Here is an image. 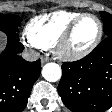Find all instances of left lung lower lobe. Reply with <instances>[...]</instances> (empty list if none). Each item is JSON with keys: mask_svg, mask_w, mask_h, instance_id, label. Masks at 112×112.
Returning <instances> with one entry per match:
<instances>
[{"mask_svg": "<svg viewBox=\"0 0 112 112\" xmlns=\"http://www.w3.org/2000/svg\"><path fill=\"white\" fill-rule=\"evenodd\" d=\"M58 92L72 112H104L112 106V36L89 55L64 62Z\"/></svg>", "mask_w": 112, "mask_h": 112, "instance_id": "0a47b994", "label": "left lung lower lobe"}]
</instances>
